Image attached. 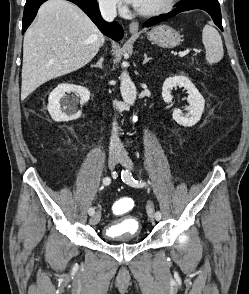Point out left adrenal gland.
Wrapping results in <instances>:
<instances>
[{
  "instance_id": "left-adrenal-gland-1",
  "label": "left adrenal gland",
  "mask_w": 249,
  "mask_h": 294,
  "mask_svg": "<svg viewBox=\"0 0 249 294\" xmlns=\"http://www.w3.org/2000/svg\"><path fill=\"white\" fill-rule=\"evenodd\" d=\"M150 59H151V58H149V57L147 56V54L145 53V54H144L143 65L146 64Z\"/></svg>"
}]
</instances>
